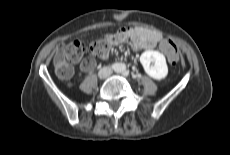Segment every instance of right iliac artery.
<instances>
[{
  "instance_id": "82829eb1",
  "label": "right iliac artery",
  "mask_w": 230,
  "mask_h": 155,
  "mask_svg": "<svg viewBox=\"0 0 230 155\" xmlns=\"http://www.w3.org/2000/svg\"><path fill=\"white\" fill-rule=\"evenodd\" d=\"M112 67H113L114 69H115V68H117V66H116V65H113Z\"/></svg>"
}]
</instances>
